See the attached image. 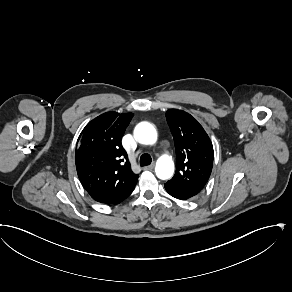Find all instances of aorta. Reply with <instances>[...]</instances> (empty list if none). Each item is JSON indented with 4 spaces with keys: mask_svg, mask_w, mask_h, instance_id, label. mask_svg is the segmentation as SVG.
<instances>
[{
    "mask_svg": "<svg viewBox=\"0 0 292 292\" xmlns=\"http://www.w3.org/2000/svg\"><path fill=\"white\" fill-rule=\"evenodd\" d=\"M134 135L142 144H153L157 140L155 128L148 122L139 123L134 130ZM155 172L159 179L166 180L173 176L174 162L168 155L158 158L155 166Z\"/></svg>",
    "mask_w": 292,
    "mask_h": 292,
    "instance_id": "aorta-1",
    "label": "aorta"
}]
</instances>
